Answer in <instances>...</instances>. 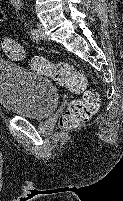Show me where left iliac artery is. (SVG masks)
Here are the masks:
<instances>
[{"label":"left iliac artery","mask_w":123,"mask_h":201,"mask_svg":"<svg viewBox=\"0 0 123 201\" xmlns=\"http://www.w3.org/2000/svg\"><path fill=\"white\" fill-rule=\"evenodd\" d=\"M13 5L15 6V8L17 10H20L21 9V2L20 0H13ZM31 35L33 38H36L37 37V30L36 29H31Z\"/></svg>","instance_id":"obj_1"}]
</instances>
